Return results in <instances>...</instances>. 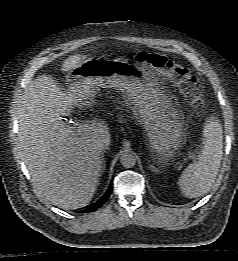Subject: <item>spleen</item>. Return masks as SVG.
Wrapping results in <instances>:
<instances>
[{"label": "spleen", "instance_id": "1", "mask_svg": "<svg viewBox=\"0 0 238 261\" xmlns=\"http://www.w3.org/2000/svg\"><path fill=\"white\" fill-rule=\"evenodd\" d=\"M203 149L196 162L188 165L178 185L187 198L205 195L212 188L223 154V130L216 117H210L203 128Z\"/></svg>", "mask_w": 238, "mask_h": 261}]
</instances>
